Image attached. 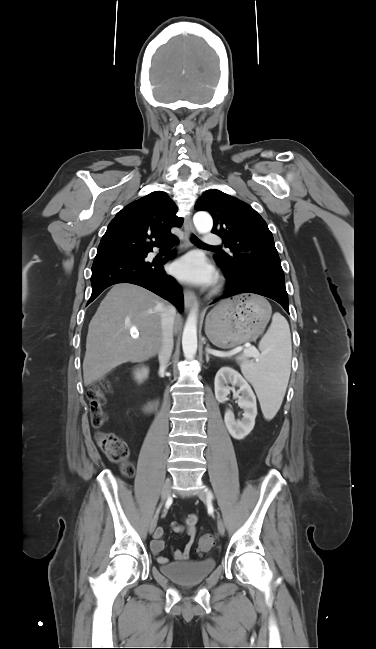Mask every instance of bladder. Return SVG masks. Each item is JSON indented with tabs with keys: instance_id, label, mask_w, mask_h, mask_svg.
<instances>
[{
	"instance_id": "bladder-1",
	"label": "bladder",
	"mask_w": 376,
	"mask_h": 649,
	"mask_svg": "<svg viewBox=\"0 0 376 649\" xmlns=\"http://www.w3.org/2000/svg\"><path fill=\"white\" fill-rule=\"evenodd\" d=\"M216 562L212 558L197 561H181L165 563L160 571L172 581L182 585H194L202 582L215 569Z\"/></svg>"
}]
</instances>
